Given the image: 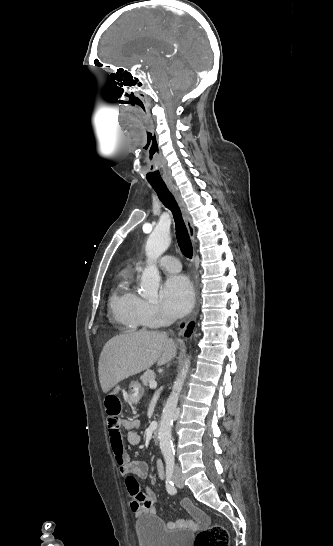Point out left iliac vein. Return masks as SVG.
<instances>
[{
    "label": "left iliac vein",
    "instance_id": "4c4485c4",
    "mask_svg": "<svg viewBox=\"0 0 333 546\" xmlns=\"http://www.w3.org/2000/svg\"><path fill=\"white\" fill-rule=\"evenodd\" d=\"M173 481H174L175 485L178 488L183 487V480L181 478V474H180V471L178 469H176V472H175L174 477H173Z\"/></svg>",
    "mask_w": 333,
    "mask_h": 546
}]
</instances>
